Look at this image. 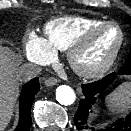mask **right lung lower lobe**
Wrapping results in <instances>:
<instances>
[{
    "label": "right lung lower lobe",
    "mask_w": 131,
    "mask_h": 131,
    "mask_svg": "<svg viewBox=\"0 0 131 131\" xmlns=\"http://www.w3.org/2000/svg\"><path fill=\"white\" fill-rule=\"evenodd\" d=\"M40 89L39 78L36 77L22 88L19 100V124L14 131H29L31 127V106Z\"/></svg>",
    "instance_id": "right-lung-lower-lobe-1"
}]
</instances>
